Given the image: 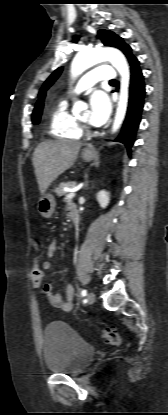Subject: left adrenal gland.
I'll return each mask as SVG.
<instances>
[{"label": "left adrenal gland", "instance_id": "1", "mask_svg": "<svg viewBox=\"0 0 168 415\" xmlns=\"http://www.w3.org/2000/svg\"><path fill=\"white\" fill-rule=\"evenodd\" d=\"M88 186V181L86 182V184H85V186L84 187H87Z\"/></svg>", "mask_w": 168, "mask_h": 415}]
</instances>
